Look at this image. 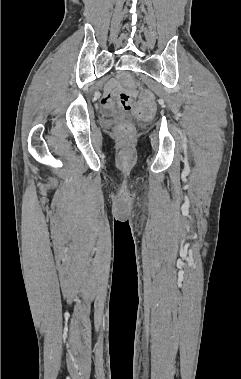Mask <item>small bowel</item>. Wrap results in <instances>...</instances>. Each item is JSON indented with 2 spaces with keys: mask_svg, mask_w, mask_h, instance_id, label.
Masks as SVG:
<instances>
[{
  "mask_svg": "<svg viewBox=\"0 0 241 379\" xmlns=\"http://www.w3.org/2000/svg\"><path fill=\"white\" fill-rule=\"evenodd\" d=\"M115 88H116V85L110 84L106 87V89L104 91L102 101H103V104L107 107H109L112 103L111 98H112V94H113Z\"/></svg>",
  "mask_w": 241,
  "mask_h": 379,
  "instance_id": "c3829d8e",
  "label": "small bowel"
}]
</instances>
